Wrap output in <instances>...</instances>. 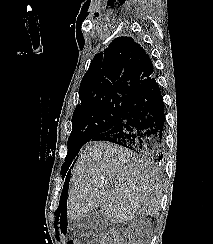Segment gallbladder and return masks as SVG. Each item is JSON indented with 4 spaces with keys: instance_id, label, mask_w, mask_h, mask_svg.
Returning <instances> with one entry per match:
<instances>
[{
    "instance_id": "1",
    "label": "gallbladder",
    "mask_w": 213,
    "mask_h": 244,
    "mask_svg": "<svg viewBox=\"0 0 213 244\" xmlns=\"http://www.w3.org/2000/svg\"><path fill=\"white\" fill-rule=\"evenodd\" d=\"M109 224L110 222L103 214L101 208H98L72 221L71 229L78 236H87L102 232Z\"/></svg>"
}]
</instances>
